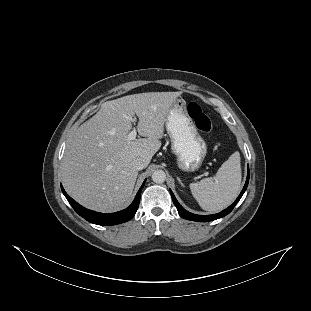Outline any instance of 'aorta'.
<instances>
[{
    "instance_id": "762f6f07",
    "label": "aorta",
    "mask_w": 311,
    "mask_h": 311,
    "mask_svg": "<svg viewBox=\"0 0 311 311\" xmlns=\"http://www.w3.org/2000/svg\"><path fill=\"white\" fill-rule=\"evenodd\" d=\"M152 181L157 183V184H161L164 183L166 180V173L163 170H155L152 173Z\"/></svg>"
}]
</instances>
